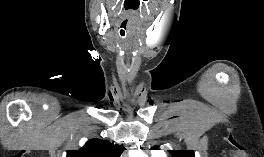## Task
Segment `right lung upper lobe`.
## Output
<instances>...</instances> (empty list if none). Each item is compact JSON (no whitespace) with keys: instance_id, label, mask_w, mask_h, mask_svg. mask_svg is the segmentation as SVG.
<instances>
[{"instance_id":"1","label":"right lung upper lobe","mask_w":264,"mask_h":157,"mask_svg":"<svg viewBox=\"0 0 264 157\" xmlns=\"http://www.w3.org/2000/svg\"><path fill=\"white\" fill-rule=\"evenodd\" d=\"M125 148L106 140H89L79 150H68L66 157H120Z\"/></svg>"}]
</instances>
